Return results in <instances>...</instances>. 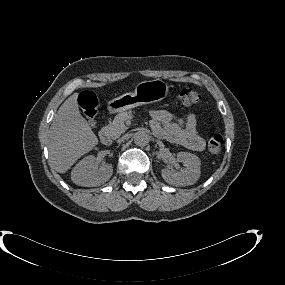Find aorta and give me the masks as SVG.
Returning <instances> with one entry per match:
<instances>
[{"label":"aorta","instance_id":"1","mask_svg":"<svg viewBox=\"0 0 285 285\" xmlns=\"http://www.w3.org/2000/svg\"><path fill=\"white\" fill-rule=\"evenodd\" d=\"M134 142L137 146H146L149 143V135L144 131H138L134 134Z\"/></svg>","mask_w":285,"mask_h":285}]
</instances>
